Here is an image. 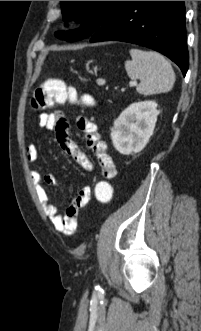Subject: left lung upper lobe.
<instances>
[{
  "label": "left lung upper lobe",
  "instance_id": "obj_1",
  "mask_svg": "<svg viewBox=\"0 0 201 331\" xmlns=\"http://www.w3.org/2000/svg\"><path fill=\"white\" fill-rule=\"evenodd\" d=\"M120 1H61L64 21L76 19L85 14L80 29L57 32L56 36L67 41H77L91 37L111 15Z\"/></svg>",
  "mask_w": 201,
  "mask_h": 331
}]
</instances>
